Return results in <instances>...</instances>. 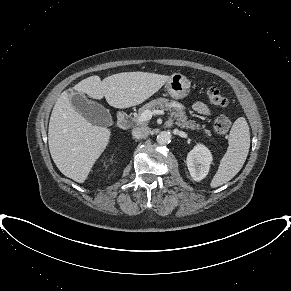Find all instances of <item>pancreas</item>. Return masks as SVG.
I'll return each instance as SVG.
<instances>
[{"label":"pancreas","mask_w":291,"mask_h":291,"mask_svg":"<svg viewBox=\"0 0 291 291\" xmlns=\"http://www.w3.org/2000/svg\"><path fill=\"white\" fill-rule=\"evenodd\" d=\"M158 109L169 110L171 112V115L176 120V125H178L179 127L192 130H202L207 137L211 136L210 131L205 129V125L200 126V124L196 123V121L188 120L186 112L184 111V107L181 104L177 103L176 101H169V99L166 98L155 99L143 105L138 110V114L135 115L133 120L138 121L140 115L146 110L154 111Z\"/></svg>","instance_id":"obj_1"}]
</instances>
